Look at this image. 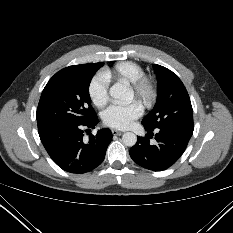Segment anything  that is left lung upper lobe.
<instances>
[{"mask_svg":"<svg viewBox=\"0 0 233 233\" xmlns=\"http://www.w3.org/2000/svg\"><path fill=\"white\" fill-rule=\"evenodd\" d=\"M153 67L157 73L158 98L142 124L150 130L175 128L193 132V110L182 81L163 66L154 64Z\"/></svg>","mask_w":233,"mask_h":233,"instance_id":"obj_1","label":"left lung upper lobe"}]
</instances>
